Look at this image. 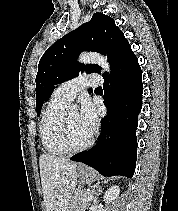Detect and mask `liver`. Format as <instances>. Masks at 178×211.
Wrapping results in <instances>:
<instances>
[{"label":"liver","instance_id":"obj_1","mask_svg":"<svg viewBox=\"0 0 178 211\" xmlns=\"http://www.w3.org/2000/svg\"><path fill=\"white\" fill-rule=\"evenodd\" d=\"M39 166L46 211H68L77 185V164L44 153L39 158Z\"/></svg>","mask_w":178,"mask_h":211}]
</instances>
